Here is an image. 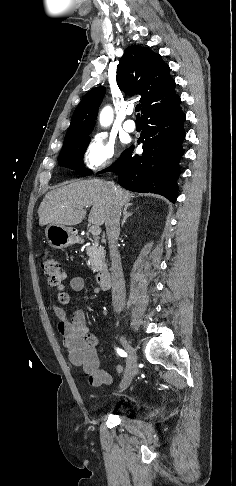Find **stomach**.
I'll list each match as a JSON object with an SVG mask.
<instances>
[{
  "label": "stomach",
  "mask_w": 236,
  "mask_h": 486,
  "mask_svg": "<svg viewBox=\"0 0 236 486\" xmlns=\"http://www.w3.org/2000/svg\"><path fill=\"white\" fill-rule=\"evenodd\" d=\"M46 238L51 247L64 249L78 241V236L72 227L49 224L45 229Z\"/></svg>",
  "instance_id": "obj_1"
}]
</instances>
